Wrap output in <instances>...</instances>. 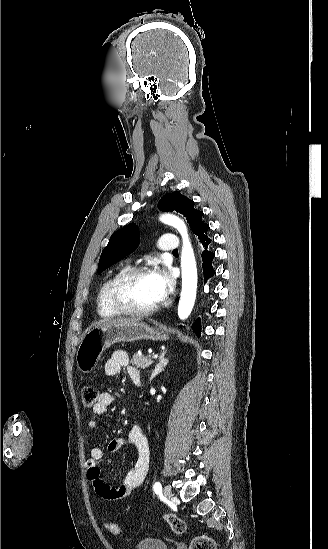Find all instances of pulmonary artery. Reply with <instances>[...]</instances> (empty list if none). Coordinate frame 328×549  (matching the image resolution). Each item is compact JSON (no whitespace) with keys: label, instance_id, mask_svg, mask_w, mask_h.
Instances as JSON below:
<instances>
[{"label":"pulmonary artery","instance_id":"obj_1","mask_svg":"<svg viewBox=\"0 0 328 549\" xmlns=\"http://www.w3.org/2000/svg\"><path fill=\"white\" fill-rule=\"evenodd\" d=\"M177 238L176 237H164L162 241H157L154 243L153 248L157 252H174L177 248Z\"/></svg>","mask_w":328,"mask_h":549}]
</instances>
